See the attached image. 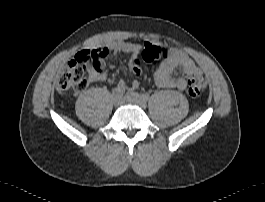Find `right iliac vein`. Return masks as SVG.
I'll return each instance as SVG.
<instances>
[{
	"mask_svg": "<svg viewBox=\"0 0 265 202\" xmlns=\"http://www.w3.org/2000/svg\"><path fill=\"white\" fill-rule=\"evenodd\" d=\"M123 102H124V98H123V96H116V97L114 98V104H115L116 106L121 105Z\"/></svg>",
	"mask_w": 265,
	"mask_h": 202,
	"instance_id": "obj_1",
	"label": "right iliac vein"
}]
</instances>
